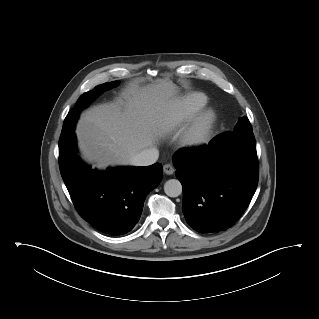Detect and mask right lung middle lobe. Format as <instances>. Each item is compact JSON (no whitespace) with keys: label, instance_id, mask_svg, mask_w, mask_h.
I'll use <instances>...</instances> for the list:
<instances>
[{"label":"right lung middle lobe","instance_id":"dd1d6c3e","mask_svg":"<svg viewBox=\"0 0 319 319\" xmlns=\"http://www.w3.org/2000/svg\"><path fill=\"white\" fill-rule=\"evenodd\" d=\"M118 84L117 81L107 82L95 87L94 90L84 93L78 99L75 107L68 113L64 120L62 133L60 136L59 144L64 143L73 133L76 121L79 117L80 111L87 107L93 100H95L99 95H101L104 91L109 90L110 88L116 86Z\"/></svg>","mask_w":319,"mask_h":319}]
</instances>
